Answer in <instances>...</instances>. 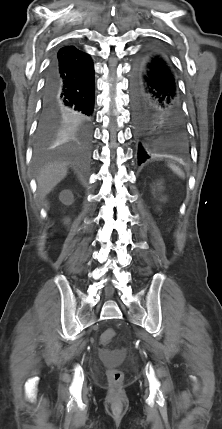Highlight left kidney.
<instances>
[{
    "mask_svg": "<svg viewBox=\"0 0 222 429\" xmlns=\"http://www.w3.org/2000/svg\"><path fill=\"white\" fill-rule=\"evenodd\" d=\"M162 200H163V201H166V197H163V198H162Z\"/></svg>",
    "mask_w": 222,
    "mask_h": 429,
    "instance_id": "obj_1",
    "label": "left kidney"
}]
</instances>
